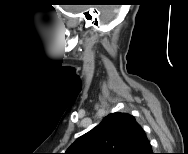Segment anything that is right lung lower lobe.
I'll return each mask as SVG.
<instances>
[{
    "mask_svg": "<svg viewBox=\"0 0 188 154\" xmlns=\"http://www.w3.org/2000/svg\"><path fill=\"white\" fill-rule=\"evenodd\" d=\"M148 154H153L152 150H150V151L148 152Z\"/></svg>",
    "mask_w": 188,
    "mask_h": 154,
    "instance_id": "1",
    "label": "right lung lower lobe"
}]
</instances>
